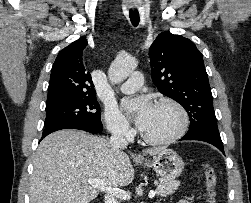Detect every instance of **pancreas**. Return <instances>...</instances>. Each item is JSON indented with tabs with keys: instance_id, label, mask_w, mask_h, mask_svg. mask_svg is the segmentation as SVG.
I'll use <instances>...</instances> for the list:
<instances>
[{
	"instance_id": "1",
	"label": "pancreas",
	"mask_w": 251,
	"mask_h": 203,
	"mask_svg": "<svg viewBox=\"0 0 251 203\" xmlns=\"http://www.w3.org/2000/svg\"><path fill=\"white\" fill-rule=\"evenodd\" d=\"M180 182L173 179H162L157 185L156 193L159 196L165 197L171 195L177 190Z\"/></svg>"
}]
</instances>
